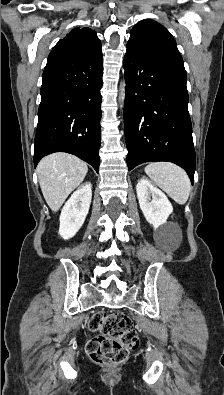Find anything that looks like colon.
<instances>
[{
	"instance_id": "5ec220e1",
	"label": "colon",
	"mask_w": 224,
	"mask_h": 395,
	"mask_svg": "<svg viewBox=\"0 0 224 395\" xmlns=\"http://www.w3.org/2000/svg\"><path fill=\"white\" fill-rule=\"evenodd\" d=\"M90 329L98 332L87 344L89 358L97 364L113 365L124 362L138 343L132 321L121 313L92 316Z\"/></svg>"
}]
</instances>
